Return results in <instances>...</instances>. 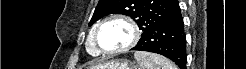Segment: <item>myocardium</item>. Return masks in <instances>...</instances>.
Wrapping results in <instances>:
<instances>
[{"instance_id": "myocardium-1", "label": "myocardium", "mask_w": 246, "mask_h": 69, "mask_svg": "<svg viewBox=\"0 0 246 69\" xmlns=\"http://www.w3.org/2000/svg\"><path fill=\"white\" fill-rule=\"evenodd\" d=\"M111 20H120L124 22L131 30V39L128 41L127 44H125L124 46L120 48H116L113 50H107L101 46L99 39H98V34H99V31L102 29V27ZM93 37H94L95 44L99 47L100 53L107 54V55H113V54H118V53L127 51L131 49L133 46H135V44L139 40L140 32H139V27L137 23L132 18H130L129 16L123 15V14H113L103 19L95 27L94 32H93Z\"/></svg>"}]
</instances>
